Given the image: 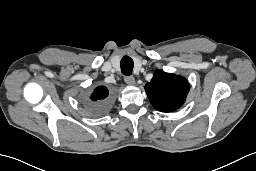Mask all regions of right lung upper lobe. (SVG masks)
<instances>
[{
	"instance_id": "1",
	"label": "right lung upper lobe",
	"mask_w": 256,
	"mask_h": 171,
	"mask_svg": "<svg viewBox=\"0 0 256 171\" xmlns=\"http://www.w3.org/2000/svg\"><path fill=\"white\" fill-rule=\"evenodd\" d=\"M108 94L109 91L106 87L99 86L94 90L93 94L91 95V100L97 103L104 101L106 100Z\"/></svg>"
}]
</instances>
